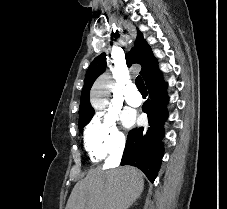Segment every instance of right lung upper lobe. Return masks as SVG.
<instances>
[{
    "mask_svg": "<svg viewBox=\"0 0 227 209\" xmlns=\"http://www.w3.org/2000/svg\"><path fill=\"white\" fill-rule=\"evenodd\" d=\"M126 61L128 66H131L133 63H138L141 65L142 69L140 71V75L145 81L148 80L158 68L157 60L154 57L150 46L143 39V34L140 31L137 33L134 47L126 56ZM105 69L106 54L102 53L93 60L87 70L84 87L81 93L79 118L90 117L94 115V109L91 107L89 101V92L96 78L102 74Z\"/></svg>",
    "mask_w": 227,
    "mask_h": 209,
    "instance_id": "right-lung-upper-lobe-1",
    "label": "right lung upper lobe"
}]
</instances>
